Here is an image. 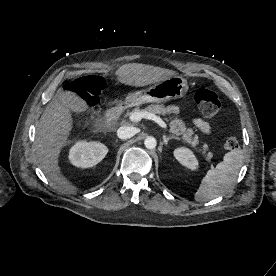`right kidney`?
Masks as SVG:
<instances>
[{"instance_id": "ca27d5eb", "label": "right kidney", "mask_w": 276, "mask_h": 276, "mask_svg": "<svg viewBox=\"0 0 276 276\" xmlns=\"http://www.w3.org/2000/svg\"><path fill=\"white\" fill-rule=\"evenodd\" d=\"M108 153V148L100 142L78 141L70 149L69 160L81 168H89L98 164Z\"/></svg>"}]
</instances>
